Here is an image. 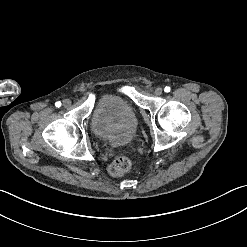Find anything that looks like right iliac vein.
Listing matches in <instances>:
<instances>
[{
    "instance_id": "1",
    "label": "right iliac vein",
    "mask_w": 247,
    "mask_h": 247,
    "mask_svg": "<svg viewBox=\"0 0 247 247\" xmlns=\"http://www.w3.org/2000/svg\"><path fill=\"white\" fill-rule=\"evenodd\" d=\"M70 105H71L70 99H65V100L63 101V106H64L65 108H68Z\"/></svg>"
}]
</instances>
